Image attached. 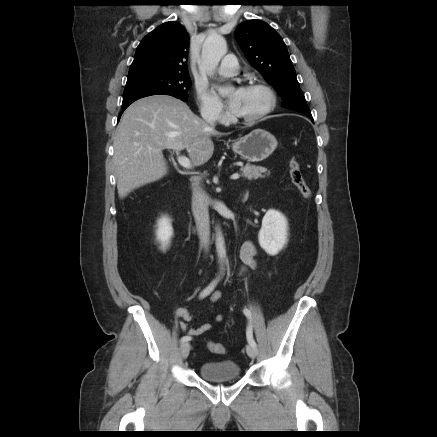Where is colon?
Returning a JSON list of instances; mask_svg holds the SVG:
<instances>
[{
  "label": "colon",
  "instance_id": "5ec220e1",
  "mask_svg": "<svg viewBox=\"0 0 437 437\" xmlns=\"http://www.w3.org/2000/svg\"><path fill=\"white\" fill-rule=\"evenodd\" d=\"M289 174L292 184L298 190L302 198L304 200H308L311 197V190L303 176L300 164L295 158H292L289 161ZM208 349L210 350V352L215 354L225 353L224 345L218 342H209Z\"/></svg>",
  "mask_w": 437,
  "mask_h": 437
}]
</instances>
